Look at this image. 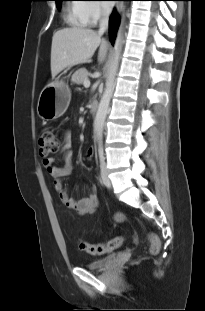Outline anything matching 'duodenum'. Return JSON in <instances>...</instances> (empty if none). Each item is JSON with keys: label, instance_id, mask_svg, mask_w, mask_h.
Here are the masks:
<instances>
[{"label": "duodenum", "instance_id": "duodenum-1", "mask_svg": "<svg viewBox=\"0 0 205 311\" xmlns=\"http://www.w3.org/2000/svg\"><path fill=\"white\" fill-rule=\"evenodd\" d=\"M99 103L97 101H93L90 105V111L92 115H95L98 111Z\"/></svg>", "mask_w": 205, "mask_h": 311}]
</instances>
